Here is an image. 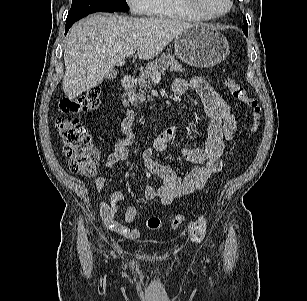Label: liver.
<instances>
[{
  "label": "liver",
  "instance_id": "1",
  "mask_svg": "<svg viewBox=\"0 0 307 301\" xmlns=\"http://www.w3.org/2000/svg\"><path fill=\"white\" fill-rule=\"evenodd\" d=\"M191 23L165 18H131L95 14L75 23L64 51L63 90L72 100L101 84L114 66L125 64L126 52L139 59L157 56Z\"/></svg>",
  "mask_w": 307,
  "mask_h": 301
}]
</instances>
